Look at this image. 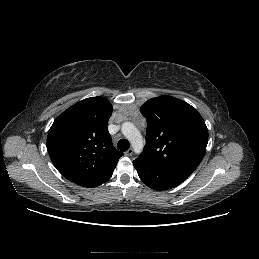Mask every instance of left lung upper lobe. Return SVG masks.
Returning <instances> with one entry per match:
<instances>
[{"mask_svg":"<svg viewBox=\"0 0 259 259\" xmlns=\"http://www.w3.org/2000/svg\"><path fill=\"white\" fill-rule=\"evenodd\" d=\"M147 119L146 145L137 158L189 177L202 161L208 129L197 110L172 96L152 98L141 107Z\"/></svg>","mask_w":259,"mask_h":259,"instance_id":"5c2ea615","label":"left lung upper lobe"}]
</instances>
